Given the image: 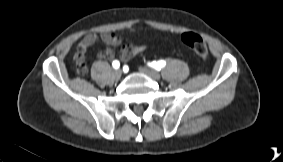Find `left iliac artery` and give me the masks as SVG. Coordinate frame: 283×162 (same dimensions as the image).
Instances as JSON below:
<instances>
[{"label":"left iliac artery","mask_w":283,"mask_h":162,"mask_svg":"<svg viewBox=\"0 0 283 162\" xmlns=\"http://www.w3.org/2000/svg\"><path fill=\"white\" fill-rule=\"evenodd\" d=\"M165 65H166V62L164 60L153 61V62L149 63V66H151L152 68H154L156 70H160Z\"/></svg>","instance_id":"1"}]
</instances>
